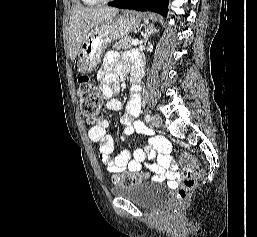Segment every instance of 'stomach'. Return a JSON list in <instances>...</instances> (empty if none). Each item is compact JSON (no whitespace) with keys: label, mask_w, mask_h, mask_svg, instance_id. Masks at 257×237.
<instances>
[{"label":"stomach","mask_w":257,"mask_h":237,"mask_svg":"<svg viewBox=\"0 0 257 237\" xmlns=\"http://www.w3.org/2000/svg\"><path fill=\"white\" fill-rule=\"evenodd\" d=\"M140 21L132 12L115 13L86 35L78 52V68L82 73L92 71L101 61L107 46L126 37L139 27Z\"/></svg>","instance_id":"stomach-1"}]
</instances>
